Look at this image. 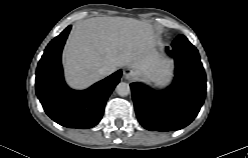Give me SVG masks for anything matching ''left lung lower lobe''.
Wrapping results in <instances>:
<instances>
[{
  "mask_svg": "<svg viewBox=\"0 0 248 158\" xmlns=\"http://www.w3.org/2000/svg\"><path fill=\"white\" fill-rule=\"evenodd\" d=\"M167 52L175 60V78L163 91L136 82L130 84L140 124L151 131H175L197 116L205 99L206 75L197 49L189 42L172 43Z\"/></svg>",
  "mask_w": 248,
  "mask_h": 158,
  "instance_id": "1",
  "label": "left lung lower lobe"
}]
</instances>
